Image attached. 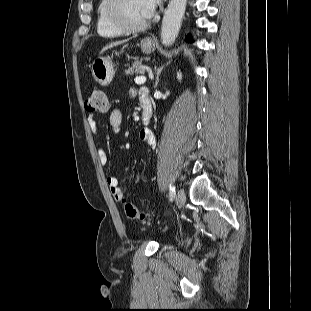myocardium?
<instances>
[{"label":"myocardium","instance_id":"obj_1","mask_svg":"<svg viewBox=\"0 0 311 311\" xmlns=\"http://www.w3.org/2000/svg\"><path fill=\"white\" fill-rule=\"evenodd\" d=\"M123 0H107L106 16L109 22L123 33H138L148 28L150 20L140 25H130L122 17L121 4Z\"/></svg>","mask_w":311,"mask_h":311}]
</instances>
